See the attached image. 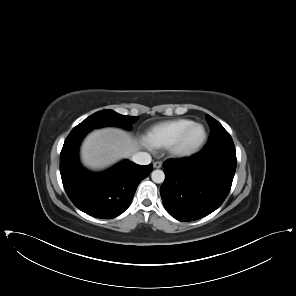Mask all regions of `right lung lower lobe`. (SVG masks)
Segmentation results:
<instances>
[{
  "instance_id": "98d812e1",
  "label": "right lung lower lobe",
  "mask_w": 296,
  "mask_h": 296,
  "mask_svg": "<svg viewBox=\"0 0 296 296\" xmlns=\"http://www.w3.org/2000/svg\"><path fill=\"white\" fill-rule=\"evenodd\" d=\"M87 132L72 130L64 142L60 154L63 186L81 211L93 217L115 218L129 207L138 184L149 175L153 165L124 160L104 173H91L78 160V148Z\"/></svg>"
}]
</instances>
